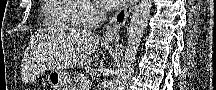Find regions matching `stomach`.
<instances>
[{"instance_id":"1","label":"stomach","mask_w":216,"mask_h":90,"mask_svg":"<svg viewBox=\"0 0 216 90\" xmlns=\"http://www.w3.org/2000/svg\"><path fill=\"white\" fill-rule=\"evenodd\" d=\"M48 82L53 90H70L71 79L65 70L53 69L48 74Z\"/></svg>"}]
</instances>
